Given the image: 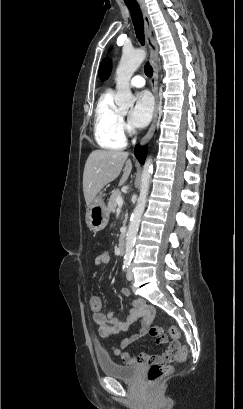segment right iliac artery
Listing matches in <instances>:
<instances>
[{
  "instance_id": "obj_1",
  "label": "right iliac artery",
  "mask_w": 243,
  "mask_h": 409,
  "mask_svg": "<svg viewBox=\"0 0 243 409\" xmlns=\"http://www.w3.org/2000/svg\"><path fill=\"white\" fill-rule=\"evenodd\" d=\"M130 263H131L130 259H125L124 260L123 267H122L124 271H126V269L129 267Z\"/></svg>"
}]
</instances>
